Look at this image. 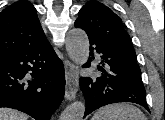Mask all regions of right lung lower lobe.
<instances>
[{"mask_svg":"<svg viewBox=\"0 0 165 120\" xmlns=\"http://www.w3.org/2000/svg\"><path fill=\"white\" fill-rule=\"evenodd\" d=\"M64 92L63 63L47 39L0 56V107L49 120Z\"/></svg>","mask_w":165,"mask_h":120,"instance_id":"98d812e1","label":"right lung lower lobe"}]
</instances>
